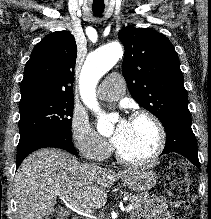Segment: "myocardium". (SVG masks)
<instances>
[{
  "instance_id": "myocardium-1",
  "label": "myocardium",
  "mask_w": 211,
  "mask_h": 219,
  "mask_svg": "<svg viewBox=\"0 0 211 219\" xmlns=\"http://www.w3.org/2000/svg\"><path fill=\"white\" fill-rule=\"evenodd\" d=\"M147 119L149 120L157 134V141L154 150L147 156L139 159H130L123 156L118 149L115 151L116 159L127 166H142L155 161L163 152L166 145V131L161 120L152 112L147 110H139L132 114L131 120Z\"/></svg>"
}]
</instances>
